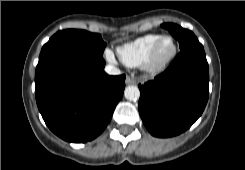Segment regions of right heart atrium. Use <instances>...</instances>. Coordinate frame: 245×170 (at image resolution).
<instances>
[{"label":"right heart atrium","instance_id":"d8ad5b80","mask_svg":"<svg viewBox=\"0 0 245 170\" xmlns=\"http://www.w3.org/2000/svg\"><path fill=\"white\" fill-rule=\"evenodd\" d=\"M105 56H106V58H107L109 61H111V62L114 61V56H113V54L111 53L110 50H106V51H105Z\"/></svg>","mask_w":245,"mask_h":170}]
</instances>
